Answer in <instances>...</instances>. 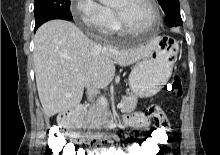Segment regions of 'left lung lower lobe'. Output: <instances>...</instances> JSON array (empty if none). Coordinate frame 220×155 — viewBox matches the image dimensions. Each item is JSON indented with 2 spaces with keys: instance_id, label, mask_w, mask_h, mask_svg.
I'll return each mask as SVG.
<instances>
[{
  "instance_id": "0a47b994",
  "label": "left lung lower lobe",
  "mask_w": 220,
  "mask_h": 155,
  "mask_svg": "<svg viewBox=\"0 0 220 155\" xmlns=\"http://www.w3.org/2000/svg\"><path fill=\"white\" fill-rule=\"evenodd\" d=\"M165 24L168 27H176V26L182 25V19H181L180 11H176V12L166 14Z\"/></svg>"
}]
</instances>
